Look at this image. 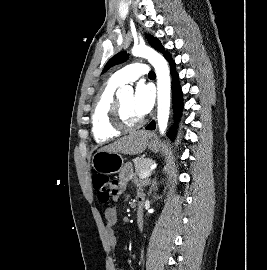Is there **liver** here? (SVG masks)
<instances>
[{
	"label": "liver",
	"mask_w": 267,
	"mask_h": 270,
	"mask_svg": "<svg viewBox=\"0 0 267 270\" xmlns=\"http://www.w3.org/2000/svg\"><path fill=\"white\" fill-rule=\"evenodd\" d=\"M150 133L146 131L131 132L116 141L102 147L100 150L136 155L142 153L148 144Z\"/></svg>",
	"instance_id": "liver-1"
}]
</instances>
